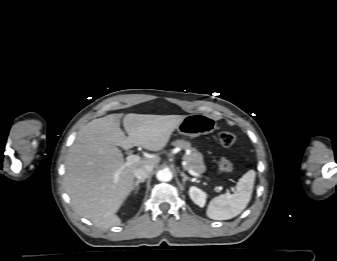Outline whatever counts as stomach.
<instances>
[{
	"label": "stomach",
	"mask_w": 337,
	"mask_h": 261,
	"mask_svg": "<svg viewBox=\"0 0 337 261\" xmlns=\"http://www.w3.org/2000/svg\"><path fill=\"white\" fill-rule=\"evenodd\" d=\"M215 129V120L209 115L199 113L185 116L177 127L180 134L191 138L212 133Z\"/></svg>",
	"instance_id": "0dacf381"
}]
</instances>
